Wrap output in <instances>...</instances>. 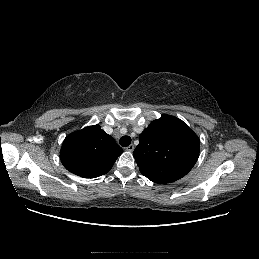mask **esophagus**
Here are the masks:
<instances>
[{
  "mask_svg": "<svg viewBox=\"0 0 259 259\" xmlns=\"http://www.w3.org/2000/svg\"><path fill=\"white\" fill-rule=\"evenodd\" d=\"M126 150L132 152L134 150V145L130 144L128 147H126Z\"/></svg>",
  "mask_w": 259,
  "mask_h": 259,
  "instance_id": "1",
  "label": "esophagus"
}]
</instances>
